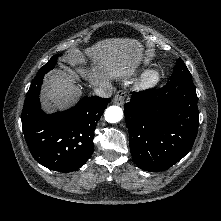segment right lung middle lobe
Segmentation results:
<instances>
[{"label":"right lung middle lobe","instance_id":"obj_1","mask_svg":"<svg viewBox=\"0 0 221 221\" xmlns=\"http://www.w3.org/2000/svg\"><path fill=\"white\" fill-rule=\"evenodd\" d=\"M59 55H55L53 56L48 63H46L37 73L36 77L35 78H39V77H42L44 76L49 70L53 69L55 64H56V60H57V57ZM34 78V79H35Z\"/></svg>","mask_w":221,"mask_h":221}]
</instances>
